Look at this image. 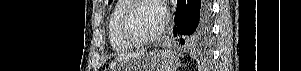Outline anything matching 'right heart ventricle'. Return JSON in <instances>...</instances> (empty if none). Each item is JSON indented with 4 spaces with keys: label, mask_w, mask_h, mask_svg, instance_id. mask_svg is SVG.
<instances>
[{
    "label": "right heart ventricle",
    "mask_w": 301,
    "mask_h": 71,
    "mask_svg": "<svg viewBox=\"0 0 301 71\" xmlns=\"http://www.w3.org/2000/svg\"><path fill=\"white\" fill-rule=\"evenodd\" d=\"M127 3V0L118 1L113 7L108 20V37L112 48L117 52L128 51L134 46L122 37L119 28L120 16Z\"/></svg>",
    "instance_id": "e07e8e85"
}]
</instances>
